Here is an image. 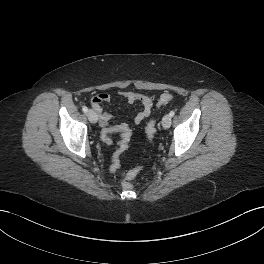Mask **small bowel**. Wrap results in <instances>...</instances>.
Returning <instances> with one entry per match:
<instances>
[{
	"instance_id": "c3829d8e",
	"label": "small bowel",
	"mask_w": 264,
	"mask_h": 264,
	"mask_svg": "<svg viewBox=\"0 0 264 264\" xmlns=\"http://www.w3.org/2000/svg\"><path fill=\"white\" fill-rule=\"evenodd\" d=\"M122 99L132 104L134 102H140L142 105V109L140 112L136 114L134 117V124L140 125L143 123L151 114L153 103L155 97L153 95L142 94L133 91H122L120 93ZM111 101V97L108 93L101 92L95 94L91 98V107L93 111L96 113L97 118L99 120L100 126L103 128L102 132H110L111 134L120 133L121 139L119 141V145L117 150L113 154L112 163L110 166V170L112 172H116L120 167L119 156L126 150L127 147L123 146V137L125 132H128L131 136L130 127L126 123H120L111 125L112 116L104 111L103 106Z\"/></svg>"
}]
</instances>
